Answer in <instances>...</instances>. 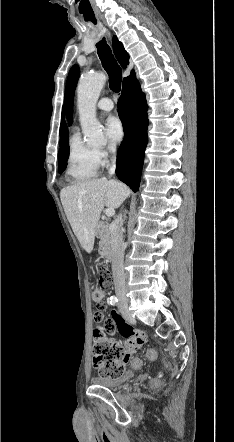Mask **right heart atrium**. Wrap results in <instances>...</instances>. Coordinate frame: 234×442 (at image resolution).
Masks as SVG:
<instances>
[{
    "instance_id": "obj_1",
    "label": "right heart atrium",
    "mask_w": 234,
    "mask_h": 442,
    "mask_svg": "<svg viewBox=\"0 0 234 442\" xmlns=\"http://www.w3.org/2000/svg\"><path fill=\"white\" fill-rule=\"evenodd\" d=\"M116 152L115 145L111 144L105 149L97 150V158L99 160L100 165L106 164L114 155Z\"/></svg>"
}]
</instances>
